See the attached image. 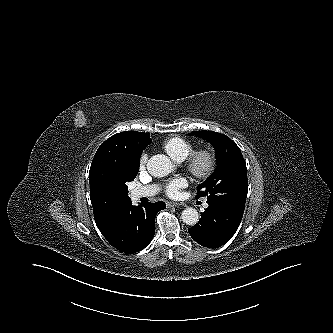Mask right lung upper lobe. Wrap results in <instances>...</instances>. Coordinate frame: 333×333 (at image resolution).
I'll use <instances>...</instances> for the list:
<instances>
[{"label": "right lung upper lobe", "instance_id": "right-lung-upper-lobe-1", "mask_svg": "<svg viewBox=\"0 0 333 333\" xmlns=\"http://www.w3.org/2000/svg\"><path fill=\"white\" fill-rule=\"evenodd\" d=\"M150 142V133L125 131L108 138L96 151L89 183L94 218L101 233L117 210L131 201L125 182L139 169L141 153Z\"/></svg>", "mask_w": 333, "mask_h": 333}]
</instances>
